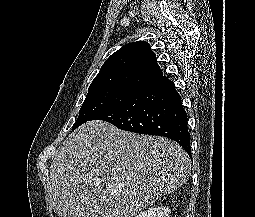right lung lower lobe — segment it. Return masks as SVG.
Segmentation results:
<instances>
[{
    "mask_svg": "<svg viewBox=\"0 0 255 217\" xmlns=\"http://www.w3.org/2000/svg\"><path fill=\"white\" fill-rule=\"evenodd\" d=\"M92 120L107 121L125 131L167 137L179 143L191 156L187 114L174 83L166 76L146 86L134 98Z\"/></svg>",
    "mask_w": 255,
    "mask_h": 217,
    "instance_id": "obj_1",
    "label": "right lung lower lobe"
}]
</instances>
